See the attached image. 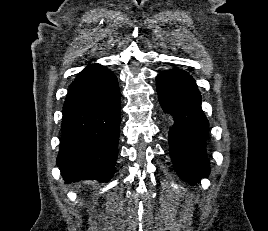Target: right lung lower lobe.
Here are the masks:
<instances>
[{
	"mask_svg": "<svg viewBox=\"0 0 268 231\" xmlns=\"http://www.w3.org/2000/svg\"><path fill=\"white\" fill-rule=\"evenodd\" d=\"M57 157L64 180L108 182L120 133V89L116 76L95 64L71 83L63 105Z\"/></svg>",
	"mask_w": 268,
	"mask_h": 231,
	"instance_id": "98d812e1",
	"label": "right lung lower lobe"
}]
</instances>
